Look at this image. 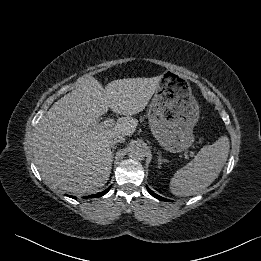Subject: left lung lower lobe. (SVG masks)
Returning a JSON list of instances; mask_svg holds the SVG:
<instances>
[{
	"label": "left lung lower lobe",
	"mask_w": 261,
	"mask_h": 261,
	"mask_svg": "<svg viewBox=\"0 0 261 261\" xmlns=\"http://www.w3.org/2000/svg\"><path fill=\"white\" fill-rule=\"evenodd\" d=\"M147 190L148 192L154 196L155 198L159 199V200H162V201H167V199L163 198V197H160L159 195L155 194L153 191H151L148 187H147Z\"/></svg>",
	"instance_id": "obj_1"
}]
</instances>
